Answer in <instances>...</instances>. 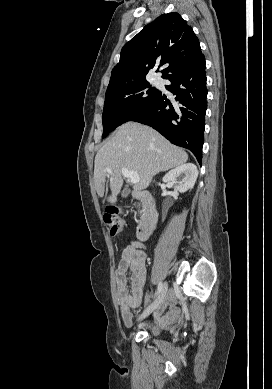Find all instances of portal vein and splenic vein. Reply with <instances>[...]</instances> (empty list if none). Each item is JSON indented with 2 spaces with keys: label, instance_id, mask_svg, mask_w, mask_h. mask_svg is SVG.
Returning <instances> with one entry per match:
<instances>
[{
  "label": "portal vein and splenic vein",
  "instance_id": "1",
  "mask_svg": "<svg viewBox=\"0 0 272 389\" xmlns=\"http://www.w3.org/2000/svg\"><path fill=\"white\" fill-rule=\"evenodd\" d=\"M107 172L112 173L111 169H107ZM121 173L124 177H127L133 184H136L140 181V178L136 172L130 171L125 167L121 169Z\"/></svg>",
  "mask_w": 272,
  "mask_h": 389
}]
</instances>
